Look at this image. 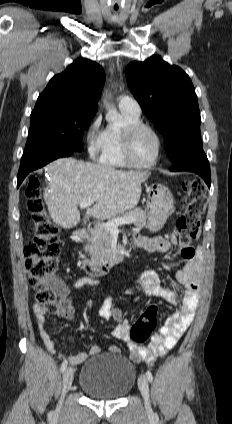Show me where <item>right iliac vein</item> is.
I'll use <instances>...</instances> for the list:
<instances>
[{
  "mask_svg": "<svg viewBox=\"0 0 232 424\" xmlns=\"http://www.w3.org/2000/svg\"><path fill=\"white\" fill-rule=\"evenodd\" d=\"M74 377V370L72 367H68L63 375V383H62V395L58 403V409H61L63 404V399L65 394L69 391Z\"/></svg>",
  "mask_w": 232,
  "mask_h": 424,
  "instance_id": "obj_1",
  "label": "right iliac vein"
}]
</instances>
